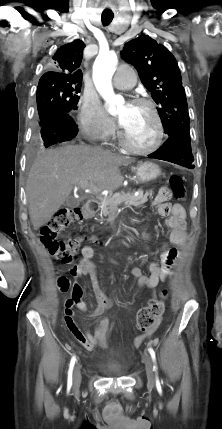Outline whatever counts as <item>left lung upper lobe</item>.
<instances>
[{
	"label": "left lung upper lobe",
	"mask_w": 222,
	"mask_h": 429,
	"mask_svg": "<svg viewBox=\"0 0 222 429\" xmlns=\"http://www.w3.org/2000/svg\"><path fill=\"white\" fill-rule=\"evenodd\" d=\"M121 56L135 66L141 82L151 92L165 133L169 137L190 136L186 95L175 57L146 35L126 43Z\"/></svg>",
	"instance_id": "obj_1"
}]
</instances>
